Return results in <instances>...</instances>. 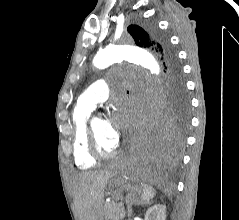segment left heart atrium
<instances>
[{
	"mask_svg": "<svg viewBox=\"0 0 239 220\" xmlns=\"http://www.w3.org/2000/svg\"><path fill=\"white\" fill-rule=\"evenodd\" d=\"M132 109L133 106L125 102L124 105L106 121L107 133L116 142H118L120 138V131H127L133 125V119L128 115Z\"/></svg>",
	"mask_w": 239,
	"mask_h": 220,
	"instance_id": "obj_1",
	"label": "left heart atrium"
}]
</instances>
